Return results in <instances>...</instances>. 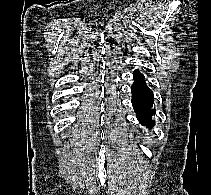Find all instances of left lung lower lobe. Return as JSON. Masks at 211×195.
Returning a JSON list of instances; mask_svg holds the SVG:
<instances>
[{
	"mask_svg": "<svg viewBox=\"0 0 211 195\" xmlns=\"http://www.w3.org/2000/svg\"><path fill=\"white\" fill-rule=\"evenodd\" d=\"M133 75L134 83L131 87L132 105L139 122L150 129L155 124L152 119L155 114V109H153L154 95L145 83L144 76L138 70L134 71Z\"/></svg>",
	"mask_w": 211,
	"mask_h": 195,
	"instance_id": "left-lung-lower-lobe-1",
	"label": "left lung lower lobe"
}]
</instances>
